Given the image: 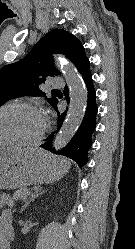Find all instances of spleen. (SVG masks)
I'll return each instance as SVG.
<instances>
[{
  "label": "spleen",
  "instance_id": "3e777b00",
  "mask_svg": "<svg viewBox=\"0 0 135 249\" xmlns=\"http://www.w3.org/2000/svg\"><path fill=\"white\" fill-rule=\"evenodd\" d=\"M59 159H60L61 163H63V164H68L69 163V161L67 159H65V158H59Z\"/></svg>",
  "mask_w": 135,
  "mask_h": 249
}]
</instances>
